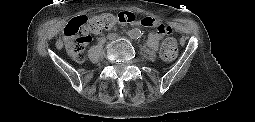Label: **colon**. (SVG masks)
Masks as SVG:
<instances>
[{
  "label": "colon",
  "mask_w": 255,
  "mask_h": 122,
  "mask_svg": "<svg viewBox=\"0 0 255 122\" xmlns=\"http://www.w3.org/2000/svg\"><path fill=\"white\" fill-rule=\"evenodd\" d=\"M137 16L131 12L117 14L104 13L89 18L78 17L72 20L64 30L65 48L72 59L81 62L85 50L91 43L92 35L112 28L116 24L133 23ZM139 23L144 27H154L160 33L169 35L161 46L160 54L164 60H173L178 53V45L173 37V30L151 17H143Z\"/></svg>",
  "instance_id": "obj_1"
}]
</instances>
